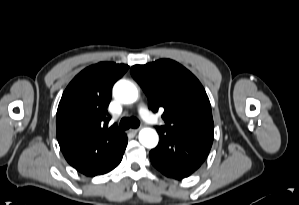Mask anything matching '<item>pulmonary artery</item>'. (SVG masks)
Listing matches in <instances>:
<instances>
[{
	"instance_id": "obj_1",
	"label": "pulmonary artery",
	"mask_w": 299,
	"mask_h": 205,
	"mask_svg": "<svg viewBox=\"0 0 299 205\" xmlns=\"http://www.w3.org/2000/svg\"><path fill=\"white\" fill-rule=\"evenodd\" d=\"M139 114L146 122L151 123V124L157 123V119L146 107L141 106L139 108Z\"/></svg>"
}]
</instances>
